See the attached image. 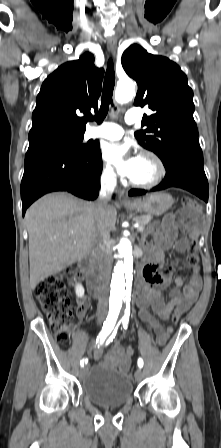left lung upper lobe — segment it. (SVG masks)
Returning a JSON list of instances; mask_svg holds the SVG:
<instances>
[{"mask_svg": "<svg viewBox=\"0 0 221 448\" xmlns=\"http://www.w3.org/2000/svg\"><path fill=\"white\" fill-rule=\"evenodd\" d=\"M122 66L138 84L134 105L148 106L153 112L142 118V126L148 128L135 134L138 143L161 160L179 150L201 149L193 91L180 67L137 44L123 53Z\"/></svg>", "mask_w": 221, "mask_h": 448, "instance_id": "obj_1", "label": "left lung upper lobe"}]
</instances>
